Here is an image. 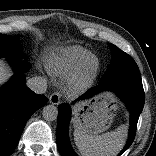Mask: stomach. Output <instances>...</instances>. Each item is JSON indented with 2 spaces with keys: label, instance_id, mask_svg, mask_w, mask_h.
<instances>
[{
  "label": "stomach",
  "instance_id": "0dacf381",
  "mask_svg": "<svg viewBox=\"0 0 156 156\" xmlns=\"http://www.w3.org/2000/svg\"><path fill=\"white\" fill-rule=\"evenodd\" d=\"M90 110H93L92 112ZM113 114L106 107H92L85 112L75 109L73 123L75 126L87 127L92 133L98 134L107 130L112 122Z\"/></svg>",
  "mask_w": 156,
  "mask_h": 156
}]
</instances>
